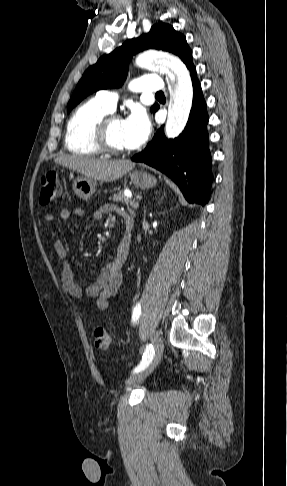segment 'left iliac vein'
<instances>
[{"label":"left iliac vein","mask_w":287,"mask_h":486,"mask_svg":"<svg viewBox=\"0 0 287 486\" xmlns=\"http://www.w3.org/2000/svg\"><path fill=\"white\" fill-rule=\"evenodd\" d=\"M152 342L154 345V356L150 365L147 366L144 370L140 371L139 373L129 377L126 381L127 386H132L133 384L143 381L147 376H149L154 371L156 366L159 364L163 353V341L161 337L156 336L152 339Z\"/></svg>","instance_id":"4c4485c4"}]
</instances>
